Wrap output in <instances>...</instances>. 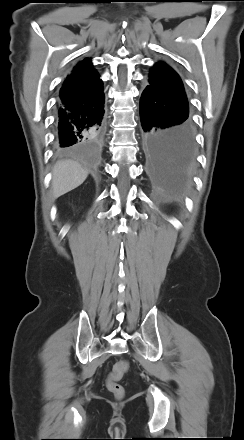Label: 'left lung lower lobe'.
<instances>
[{"label": "left lung lower lobe", "mask_w": 244, "mask_h": 440, "mask_svg": "<svg viewBox=\"0 0 244 440\" xmlns=\"http://www.w3.org/2000/svg\"><path fill=\"white\" fill-rule=\"evenodd\" d=\"M140 119L152 170L180 183L186 182L196 156L189 110L175 105L149 85L141 96Z\"/></svg>", "instance_id": "obj_1"}]
</instances>
